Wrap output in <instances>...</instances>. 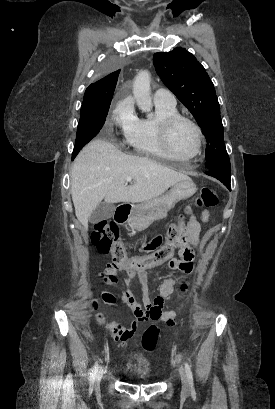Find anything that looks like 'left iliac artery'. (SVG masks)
I'll use <instances>...</instances> for the list:
<instances>
[{"instance_id": "left-iliac-artery-1", "label": "left iliac artery", "mask_w": 275, "mask_h": 409, "mask_svg": "<svg viewBox=\"0 0 275 409\" xmlns=\"http://www.w3.org/2000/svg\"><path fill=\"white\" fill-rule=\"evenodd\" d=\"M185 372H186V376H187V380H188L189 385L191 387H193V385H194L193 375H192L190 365L187 362H185Z\"/></svg>"}]
</instances>
